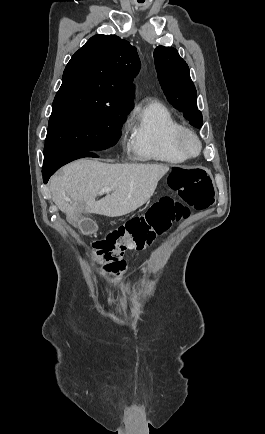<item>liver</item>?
<instances>
[{"mask_svg": "<svg viewBox=\"0 0 265 434\" xmlns=\"http://www.w3.org/2000/svg\"><path fill=\"white\" fill-rule=\"evenodd\" d=\"M167 172L168 166L157 164H102L84 158L52 176L50 190L54 204L77 226L81 214L117 218L134 212L153 196ZM102 188H110L111 194L96 202Z\"/></svg>", "mask_w": 265, "mask_h": 434, "instance_id": "liver-1", "label": "liver"}]
</instances>
